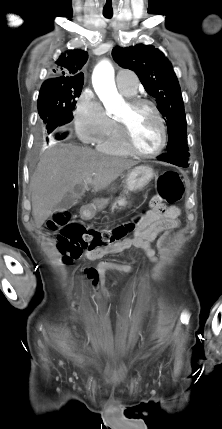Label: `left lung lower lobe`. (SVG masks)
Returning a JSON list of instances; mask_svg holds the SVG:
<instances>
[{"label": "left lung lower lobe", "instance_id": "obj_1", "mask_svg": "<svg viewBox=\"0 0 222 429\" xmlns=\"http://www.w3.org/2000/svg\"><path fill=\"white\" fill-rule=\"evenodd\" d=\"M189 156L190 155L184 154L182 152L174 151V152H167L161 156H158L157 159L174 164L179 167L186 168L189 166V160H190Z\"/></svg>", "mask_w": 222, "mask_h": 429}]
</instances>
